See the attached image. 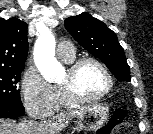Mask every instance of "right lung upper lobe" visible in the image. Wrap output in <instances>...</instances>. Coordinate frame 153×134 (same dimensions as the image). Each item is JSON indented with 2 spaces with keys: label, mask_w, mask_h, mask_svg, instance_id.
I'll list each match as a JSON object with an SVG mask.
<instances>
[{
  "label": "right lung upper lobe",
  "mask_w": 153,
  "mask_h": 134,
  "mask_svg": "<svg viewBox=\"0 0 153 134\" xmlns=\"http://www.w3.org/2000/svg\"><path fill=\"white\" fill-rule=\"evenodd\" d=\"M27 53V24L15 17L0 19V68L24 67Z\"/></svg>",
  "instance_id": "obj_1"
}]
</instances>
